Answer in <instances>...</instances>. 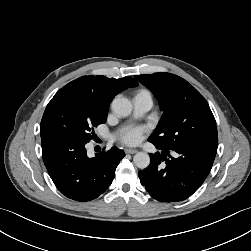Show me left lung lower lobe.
Instances as JSON below:
<instances>
[{"label":"left lung lower lobe","instance_id":"0a47b994","mask_svg":"<svg viewBox=\"0 0 251 251\" xmlns=\"http://www.w3.org/2000/svg\"><path fill=\"white\" fill-rule=\"evenodd\" d=\"M162 149V154H150L151 164L138 175L147 192L160 202H178L190 197L208 176L218 143L195 142ZM173 151L178 157H172ZM165 155L169 156L167 158Z\"/></svg>","mask_w":251,"mask_h":251}]
</instances>
